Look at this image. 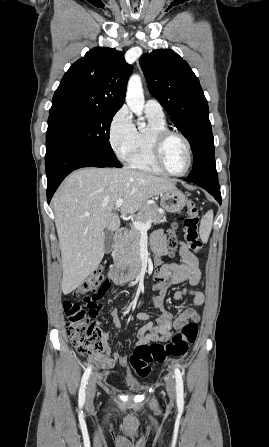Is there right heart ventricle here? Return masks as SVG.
Listing matches in <instances>:
<instances>
[{"instance_id": "1", "label": "right heart ventricle", "mask_w": 269, "mask_h": 447, "mask_svg": "<svg viewBox=\"0 0 269 447\" xmlns=\"http://www.w3.org/2000/svg\"><path fill=\"white\" fill-rule=\"evenodd\" d=\"M149 120L147 129H139L135 133L133 148L128 156V163L132 168L149 171L153 173H164L165 171L155 162L152 152V135L157 130L168 129L164 118H158L146 113Z\"/></svg>"}]
</instances>
